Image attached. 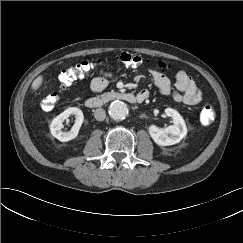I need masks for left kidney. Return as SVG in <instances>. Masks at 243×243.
<instances>
[{"instance_id": "left-kidney-1", "label": "left kidney", "mask_w": 243, "mask_h": 243, "mask_svg": "<svg viewBox=\"0 0 243 243\" xmlns=\"http://www.w3.org/2000/svg\"><path fill=\"white\" fill-rule=\"evenodd\" d=\"M165 113L173 119V125L167 128L149 127V133L154 142L160 146L179 143L187 135V127L182 116L172 108H166Z\"/></svg>"}]
</instances>
